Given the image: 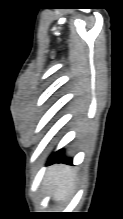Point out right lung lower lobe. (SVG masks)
I'll use <instances>...</instances> for the list:
<instances>
[{
	"label": "right lung lower lobe",
	"mask_w": 123,
	"mask_h": 219,
	"mask_svg": "<svg viewBox=\"0 0 123 219\" xmlns=\"http://www.w3.org/2000/svg\"><path fill=\"white\" fill-rule=\"evenodd\" d=\"M57 161H65V158L63 156V150L57 151L49 157V163L57 162ZM67 162L71 163L72 160L68 159Z\"/></svg>",
	"instance_id": "1"
}]
</instances>
